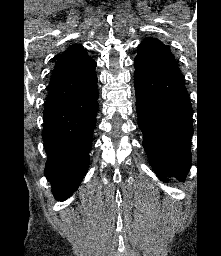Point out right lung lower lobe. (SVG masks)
<instances>
[{
	"mask_svg": "<svg viewBox=\"0 0 221 256\" xmlns=\"http://www.w3.org/2000/svg\"><path fill=\"white\" fill-rule=\"evenodd\" d=\"M97 100L96 88L76 99L44 109L45 176L58 201L67 199L87 172Z\"/></svg>",
	"mask_w": 221,
	"mask_h": 256,
	"instance_id": "1",
	"label": "right lung lower lobe"
}]
</instances>
